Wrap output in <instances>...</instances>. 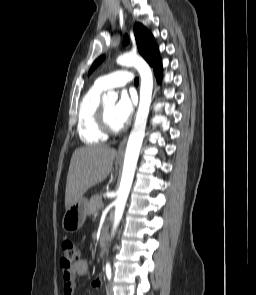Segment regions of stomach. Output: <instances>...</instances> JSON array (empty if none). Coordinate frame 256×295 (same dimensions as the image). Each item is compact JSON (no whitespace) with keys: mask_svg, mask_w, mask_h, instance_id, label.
Wrapping results in <instances>:
<instances>
[{"mask_svg":"<svg viewBox=\"0 0 256 295\" xmlns=\"http://www.w3.org/2000/svg\"><path fill=\"white\" fill-rule=\"evenodd\" d=\"M87 207V199L80 198L71 207L66 209L62 218V227L66 232H75L83 226L88 213Z\"/></svg>","mask_w":256,"mask_h":295,"instance_id":"0dacf381","label":"stomach"}]
</instances>
